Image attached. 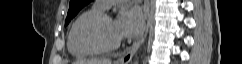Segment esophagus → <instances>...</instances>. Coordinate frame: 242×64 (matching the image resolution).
Returning <instances> with one entry per match:
<instances>
[{
  "mask_svg": "<svg viewBox=\"0 0 242 64\" xmlns=\"http://www.w3.org/2000/svg\"><path fill=\"white\" fill-rule=\"evenodd\" d=\"M149 26H150V1L145 0L142 32L139 38L137 39V41L130 48H128L125 54L118 60V64H128L131 61L133 55L136 53V51L145 41V38L149 30Z\"/></svg>",
  "mask_w": 242,
  "mask_h": 64,
  "instance_id": "1",
  "label": "esophagus"
}]
</instances>
